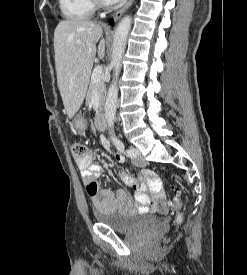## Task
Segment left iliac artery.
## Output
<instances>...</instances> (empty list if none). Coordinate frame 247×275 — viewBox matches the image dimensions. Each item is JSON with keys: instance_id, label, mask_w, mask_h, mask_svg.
<instances>
[{"instance_id": "left-iliac-artery-1", "label": "left iliac artery", "mask_w": 247, "mask_h": 275, "mask_svg": "<svg viewBox=\"0 0 247 275\" xmlns=\"http://www.w3.org/2000/svg\"><path fill=\"white\" fill-rule=\"evenodd\" d=\"M113 143L116 146L117 150L124 153L127 157H136V153L134 152V150L131 148L125 149V146L121 140L116 138L113 140Z\"/></svg>"}]
</instances>
